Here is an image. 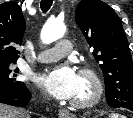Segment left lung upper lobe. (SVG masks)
Here are the masks:
<instances>
[{"label":"left lung upper lobe","mask_w":133,"mask_h":118,"mask_svg":"<svg viewBox=\"0 0 133 118\" xmlns=\"http://www.w3.org/2000/svg\"><path fill=\"white\" fill-rule=\"evenodd\" d=\"M75 21L100 63L108 105L133 111L132 56L120 18L101 0H81Z\"/></svg>","instance_id":"obj_1"}]
</instances>
